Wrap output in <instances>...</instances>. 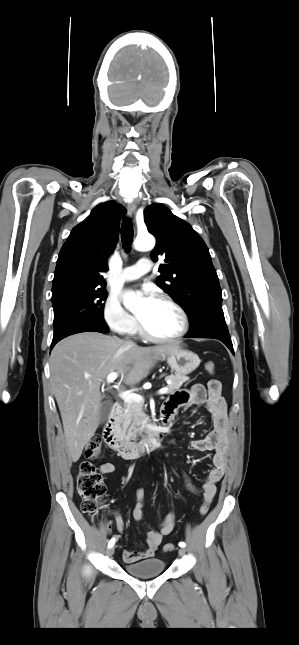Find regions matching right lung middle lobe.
Listing matches in <instances>:
<instances>
[{
    "label": "right lung middle lobe",
    "mask_w": 299,
    "mask_h": 645,
    "mask_svg": "<svg viewBox=\"0 0 299 645\" xmlns=\"http://www.w3.org/2000/svg\"><path fill=\"white\" fill-rule=\"evenodd\" d=\"M105 289H71L52 296L54 309V336L82 323L105 326L103 301Z\"/></svg>",
    "instance_id": "obj_1"
}]
</instances>
